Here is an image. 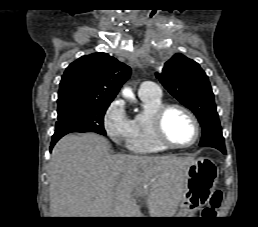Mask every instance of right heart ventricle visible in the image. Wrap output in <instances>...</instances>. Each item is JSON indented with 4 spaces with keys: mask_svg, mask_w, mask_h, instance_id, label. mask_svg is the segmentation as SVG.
Returning <instances> with one entry per match:
<instances>
[{
    "mask_svg": "<svg viewBox=\"0 0 258 227\" xmlns=\"http://www.w3.org/2000/svg\"><path fill=\"white\" fill-rule=\"evenodd\" d=\"M143 110L131 119V133L127 141L130 151L140 154L159 153L166 150L154 134L152 118L154 112L163 105L161 97L140 96Z\"/></svg>",
    "mask_w": 258,
    "mask_h": 227,
    "instance_id": "e07e8e85",
    "label": "right heart ventricle"
}]
</instances>
